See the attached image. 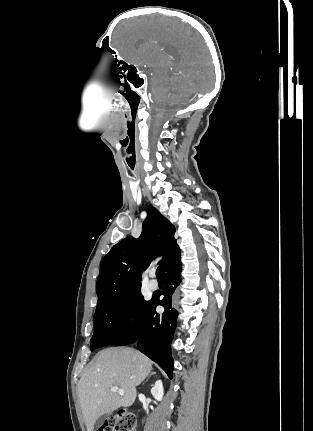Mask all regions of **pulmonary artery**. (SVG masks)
Instances as JSON below:
<instances>
[{"mask_svg":"<svg viewBox=\"0 0 313 431\" xmlns=\"http://www.w3.org/2000/svg\"><path fill=\"white\" fill-rule=\"evenodd\" d=\"M151 275L153 276L154 273H152ZM148 286L151 290H156V289H158V282L156 280L152 279V280H150Z\"/></svg>","mask_w":313,"mask_h":431,"instance_id":"1","label":"pulmonary artery"}]
</instances>
